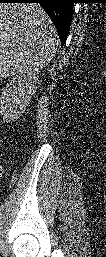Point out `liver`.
<instances>
[{
  "mask_svg": "<svg viewBox=\"0 0 106 257\" xmlns=\"http://www.w3.org/2000/svg\"><path fill=\"white\" fill-rule=\"evenodd\" d=\"M54 45V30L37 5L1 6L2 74L20 63L43 66Z\"/></svg>",
  "mask_w": 106,
  "mask_h": 257,
  "instance_id": "obj_1",
  "label": "liver"
}]
</instances>
